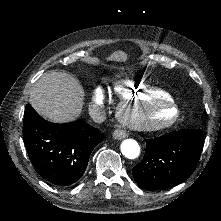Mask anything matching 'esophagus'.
I'll use <instances>...</instances> for the list:
<instances>
[{
  "label": "esophagus",
  "instance_id": "1",
  "mask_svg": "<svg viewBox=\"0 0 221 221\" xmlns=\"http://www.w3.org/2000/svg\"><path fill=\"white\" fill-rule=\"evenodd\" d=\"M127 136V133L122 129H116L113 132V138L115 139H123Z\"/></svg>",
  "mask_w": 221,
  "mask_h": 221
}]
</instances>
